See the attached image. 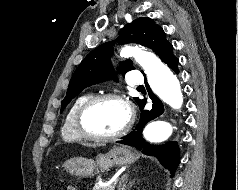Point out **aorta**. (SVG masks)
<instances>
[{
  "label": "aorta",
  "instance_id": "1",
  "mask_svg": "<svg viewBox=\"0 0 238 190\" xmlns=\"http://www.w3.org/2000/svg\"><path fill=\"white\" fill-rule=\"evenodd\" d=\"M120 54L135 58L146 73L151 90L163 102L174 109L182 106L183 95L177 77L156 55L137 46H125ZM143 134L151 143H162L171 136L172 126L166 120H154L146 126Z\"/></svg>",
  "mask_w": 238,
  "mask_h": 190
}]
</instances>
